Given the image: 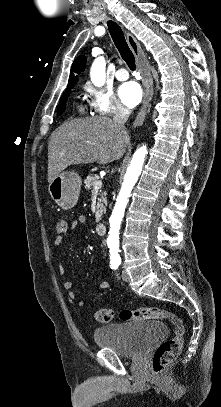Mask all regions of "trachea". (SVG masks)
<instances>
[{
    "label": "trachea",
    "mask_w": 221,
    "mask_h": 407,
    "mask_svg": "<svg viewBox=\"0 0 221 407\" xmlns=\"http://www.w3.org/2000/svg\"><path fill=\"white\" fill-rule=\"evenodd\" d=\"M107 25L114 44L120 52L121 57L131 70H135V56L126 42L121 27L113 21H108Z\"/></svg>",
    "instance_id": "trachea-1"
}]
</instances>
